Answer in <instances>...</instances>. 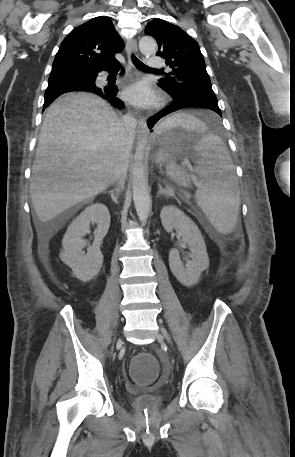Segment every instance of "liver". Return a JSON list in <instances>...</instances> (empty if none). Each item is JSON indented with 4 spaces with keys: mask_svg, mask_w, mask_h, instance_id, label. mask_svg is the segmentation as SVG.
I'll list each match as a JSON object with an SVG mask.
<instances>
[{
    "mask_svg": "<svg viewBox=\"0 0 295 457\" xmlns=\"http://www.w3.org/2000/svg\"><path fill=\"white\" fill-rule=\"evenodd\" d=\"M131 145L122 119L102 98L81 92L58 98L45 115L30 179L39 220L106 190L123 152L129 162Z\"/></svg>",
    "mask_w": 295,
    "mask_h": 457,
    "instance_id": "6515ba94",
    "label": "liver"
}]
</instances>
